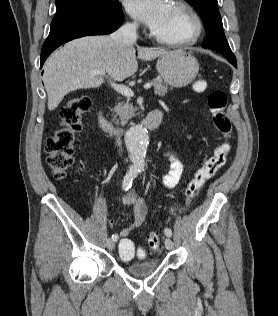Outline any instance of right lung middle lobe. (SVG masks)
Here are the masks:
<instances>
[{
    "label": "right lung middle lobe",
    "instance_id": "1",
    "mask_svg": "<svg viewBox=\"0 0 278 316\" xmlns=\"http://www.w3.org/2000/svg\"><path fill=\"white\" fill-rule=\"evenodd\" d=\"M117 5L112 0H56L57 13L52 22L87 13L109 12Z\"/></svg>",
    "mask_w": 278,
    "mask_h": 316
}]
</instances>
